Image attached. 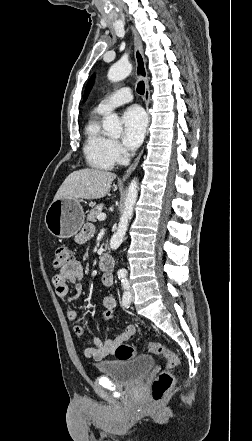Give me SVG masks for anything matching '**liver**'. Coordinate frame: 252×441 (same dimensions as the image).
<instances>
[{
	"mask_svg": "<svg viewBox=\"0 0 252 441\" xmlns=\"http://www.w3.org/2000/svg\"><path fill=\"white\" fill-rule=\"evenodd\" d=\"M116 174L100 169H80L72 172L58 189L54 199H100L105 197Z\"/></svg>",
	"mask_w": 252,
	"mask_h": 441,
	"instance_id": "obj_1",
	"label": "liver"
}]
</instances>
